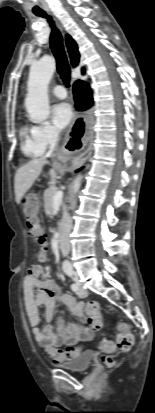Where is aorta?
Masks as SVG:
<instances>
[{"label":"aorta","mask_w":155,"mask_h":413,"mask_svg":"<svg viewBox=\"0 0 155 413\" xmlns=\"http://www.w3.org/2000/svg\"><path fill=\"white\" fill-rule=\"evenodd\" d=\"M55 60L50 56H44L30 68L25 107L29 119L33 123H40L47 119L50 113L48 100V85L55 71ZM82 176L79 175L73 182V192L76 193L81 186ZM63 268L71 269L69 261L63 262Z\"/></svg>","instance_id":"762f6f07"}]
</instances>
